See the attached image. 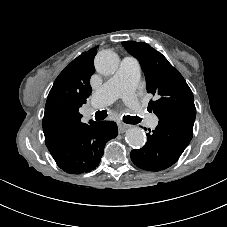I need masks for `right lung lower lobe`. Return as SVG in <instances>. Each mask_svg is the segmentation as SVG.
Returning a JSON list of instances; mask_svg holds the SVG:
<instances>
[{"instance_id": "1", "label": "right lung lower lobe", "mask_w": 227, "mask_h": 227, "mask_svg": "<svg viewBox=\"0 0 227 227\" xmlns=\"http://www.w3.org/2000/svg\"><path fill=\"white\" fill-rule=\"evenodd\" d=\"M118 134L116 123L94 122L73 137L56 144L50 153L56 164L67 173L90 172L99 165L104 145Z\"/></svg>"}]
</instances>
